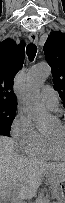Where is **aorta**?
<instances>
[{"instance_id": "aorta-1", "label": "aorta", "mask_w": 65, "mask_h": 203, "mask_svg": "<svg viewBox=\"0 0 65 203\" xmlns=\"http://www.w3.org/2000/svg\"><path fill=\"white\" fill-rule=\"evenodd\" d=\"M51 74V68L46 62L38 64L30 73L29 85L31 90L27 94L29 113L39 129H45L49 126L52 116L47 111L40 95L36 89L42 85ZM35 203H48L46 197H38Z\"/></svg>"}]
</instances>
